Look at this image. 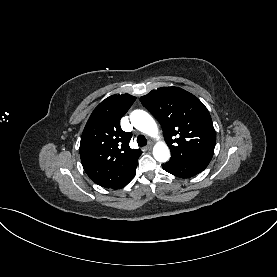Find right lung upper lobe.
I'll use <instances>...</instances> for the list:
<instances>
[{
	"label": "right lung upper lobe",
	"instance_id": "right-lung-upper-lobe-1",
	"mask_svg": "<svg viewBox=\"0 0 277 277\" xmlns=\"http://www.w3.org/2000/svg\"><path fill=\"white\" fill-rule=\"evenodd\" d=\"M136 97L112 95L92 112L83 130L80 157L87 175L96 184L116 189L136 169L141 155L129 146L132 133L124 132L120 120Z\"/></svg>",
	"mask_w": 277,
	"mask_h": 277
}]
</instances>
